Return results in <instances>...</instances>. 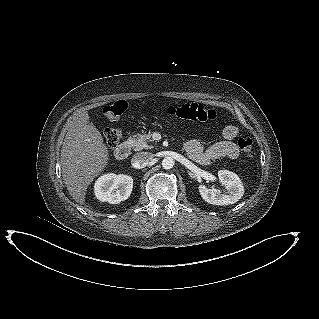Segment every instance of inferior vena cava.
Here are the masks:
<instances>
[{
    "mask_svg": "<svg viewBox=\"0 0 319 319\" xmlns=\"http://www.w3.org/2000/svg\"><path fill=\"white\" fill-rule=\"evenodd\" d=\"M153 157V154L147 151L136 153L132 158V165L135 168H142L149 164L152 161Z\"/></svg>",
    "mask_w": 319,
    "mask_h": 319,
    "instance_id": "602c4592",
    "label": "inferior vena cava"
}]
</instances>
